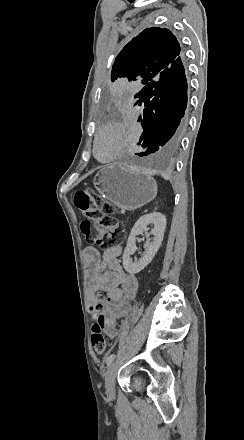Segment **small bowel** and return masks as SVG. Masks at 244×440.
Instances as JSON below:
<instances>
[{"label":"small bowel","instance_id":"1","mask_svg":"<svg viewBox=\"0 0 244 440\" xmlns=\"http://www.w3.org/2000/svg\"><path fill=\"white\" fill-rule=\"evenodd\" d=\"M121 254V245H113L101 253L89 247L84 254L89 300L93 302L98 292L105 293L104 332L111 339L118 336L117 321L131 312L139 288L136 275L124 270Z\"/></svg>","mask_w":244,"mask_h":440}]
</instances>
